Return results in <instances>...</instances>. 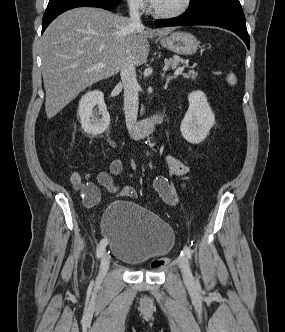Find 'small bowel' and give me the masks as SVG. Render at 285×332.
<instances>
[{"mask_svg":"<svg viewBox=\"0 0 285 332\" xmlns=\"http://www.w3.org/2000/svg\"><path fill=\"white\" fill-rule=\"evenodd\" d=\"M165 162L169 165L174 176H183L188 172V168L179 159L172 155L165 157ZM123 171V163L120 159H114L110 164V173L102 171L97 175L99 185L107 189L110 193L118 197L135 198L137 191L131 186L118 187L114 184L111 175H120ZM73 188L80 192L84 205L87 208L94 207L100 200L99 188L92 182L83 178L80 172L74 171L70 178ZM153 190L170 206L177 204V194L170 180L164 176H158L152 184Z\"/></svg>","mask_w":285,"mask_h":332,"instance_id":"obj_1","label":"small bowel"}]
</instances>
